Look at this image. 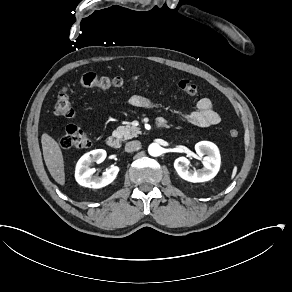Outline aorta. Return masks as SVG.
Returning a JSON list of instances; mask_svg holds the SVG:
<instances>
[{"mask_svg":"<svg viewBox=\"0 0 292 292\" xmlns=\"http://www.w3.org/2000/svg\"><path fill=\"white\" fill-rule=\"evenodd\" d=\"M148 152L153 157H158L162 153V148L159 144L153 143L149 146Z\"/></svg>","mask_w":292,"mask_h":292,"instance_id":"aorta-1","label":"aorta"}]
</instances>
